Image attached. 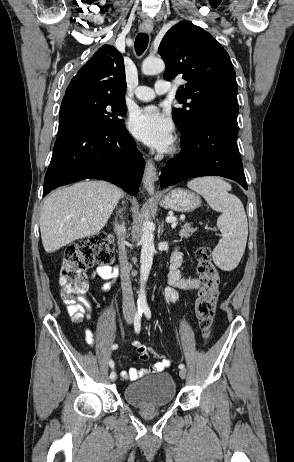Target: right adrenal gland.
<instances>
[{
	"label": "right adrenal gland",
	"mask_w": 294,
	"mask_h": 462,
	"mask_svg": "<svg viewBox=\"0 0 294 462\" xmlns=\"http://www.w3.org/2000/svg\"><path fill=\"white\" fill-rule=\"evenodd\" d=\"M117 215H119V217L122 218L121 210L118 211ZM117 224H118V221H117V218H115V222L113 223V225L116 226Z\"/></svg>",
	"instance_id": "1"
}]
</instances>
